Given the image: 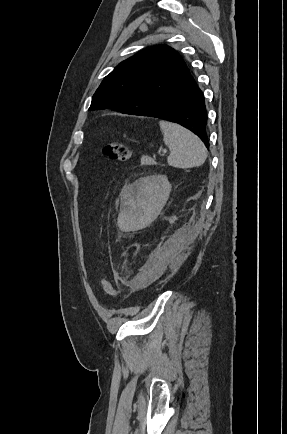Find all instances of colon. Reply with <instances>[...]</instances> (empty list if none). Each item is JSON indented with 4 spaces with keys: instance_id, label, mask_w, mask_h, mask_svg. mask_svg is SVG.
I'll use <instances>...</instances> for the list:
<instances>
[{
    "instance_id": "1",
    "label": "colon",
    "mask_w": 287,
    "mask_h": 434,
    "mask_svg": "<svg viewBox=\"0 0 287 434\" xmlns=\"http://www.w3.org/2000/svg\"><path fill=\"white\" fill-rule=\"evenodd\" d=\"M104 153L116 161H127L131 157L130 147L116 141L109 142L104 148ZM102 290L108 297H114L116 294L115 286L108 278L103 279Z\"/></svg>"
}]
</instances>
